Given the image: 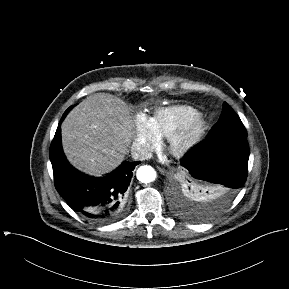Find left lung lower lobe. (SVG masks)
<instances>
[{"label": "left lung lower lobe", "instance_id": "obj_1", "mask_svg": "<svg viewBox=\"0 0 289 289\" xmlns=\"http://www.w3.org/2000/svg\"><path fill=\"white\" fill-rule=\"evenodd\" d=\"M249 146L246 137H225L204 140L181 160L186 170L185 186L205 188L215 193L216 209L225 206L247 178Z\"/></svg>", "mask_w": 289, "mask_h": 289}]
</instances>
